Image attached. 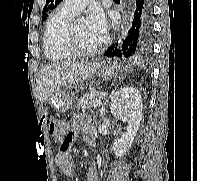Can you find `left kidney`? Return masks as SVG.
Returning <instances> with one entry per match:
<instances>
[{"instance_id":"left-kidney-1","label":"left kidney","mask_w":197,"mask_h":181,"mask_svg":"<svg viewBox=\"0 0 197 181\" xmlns=\"http://www.w3.org/2000/svg\"><path fill=\"white\" fill-rule=\"evenodd\" d=\"M110 109L115 118L128 123L127 131L113 142L115 156L121 157L132 146L143 119L140 92L133 87L121 88L114 94Z\"/></svg>"}]
</instances>
